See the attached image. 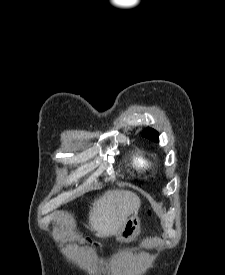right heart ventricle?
I'll return each instance as SVG.
<instances>
[{"label": "right heart ventricle", "instance_id": "1", "mask_svg": "<svg viewBox=\"0 0 225 275\" xmlns=\"http://www.w3.org/2000/svg\"><path fill=\"white\" fill-rule=\"evenodd\" d=\"M134 164L139 168H143L147 166V161L142 156H135Z\"/></svg>", "mask_w": 225, "mask_h": 275}]
</instances>
